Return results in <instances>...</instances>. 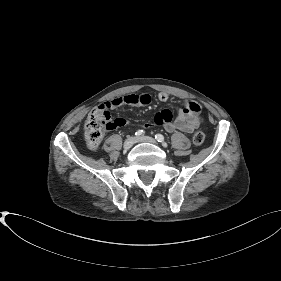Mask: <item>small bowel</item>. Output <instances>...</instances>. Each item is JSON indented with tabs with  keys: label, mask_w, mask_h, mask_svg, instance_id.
I'll return each instance as SVG.
<instances>
[{
	"label": "small bowel",
	"mask_w": 281,
	"mask_h": 281,
	"mask_svg": "<svg viewBox=\"0 0 281 281\" xmlns=\"http://www.w3.org/2000/svg\"><path fill=\"white\" fill-rule=\"evenodd\" d=\"M157 99L166 103L169 100V96L165 92H160ZM152 97L147 93L142 94H128L125 96L117 97L112 100L103 102L99 105L100 109L113 110L122 105L130 106H147L151 103ZM117 127L127 126L128 122L123 118H116ZM201 124L200 107L194 101H187L184 106L179 110L178 115L173 119V114L169 109H163L157 112L153 118V125L163 126L166 131H182L185 133H191ZM152 125H145V128H149Z\"/></svg>",
	"instance_id": "obj_1"
}]
</instances>
